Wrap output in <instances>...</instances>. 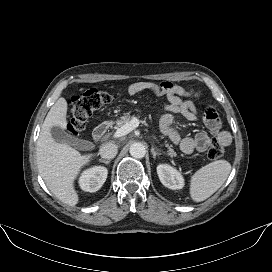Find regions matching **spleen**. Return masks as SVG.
I'll return each mask as SVG.
<instances>
[{
    "label": "spleen",
    "mask_w": 272,
    "mask_h": 272,
    "mask_svg": "<svg viewBox=\"0 0 272 272\" xmlns=\"http://www.w3.org/2000/svg\"><path fill=\"white\" fill-rule=\"evenodd\" d=\"M231 164L226 160L211 162L197 170L190 180V196L194 202H202L213 195L226 181Z\"/></svg>",
    "instance_id": "spleen-1"
}]
</instances>
